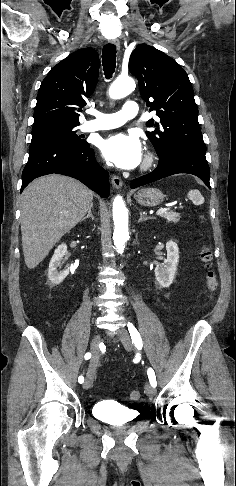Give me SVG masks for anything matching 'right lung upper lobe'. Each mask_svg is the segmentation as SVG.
<instances>
[{
  "mask_svg": "<svg viewBox=\"0 0 236 486\" xmlns=\"http://www.w3.org/2000/svg\"><path fill=\"white\" fill-rule=\"evenodd\" d=\"M99 75V57L92 48L71 53L55 65L38 91L34 124H79L85 99L94 92Z\"/></svg>",
  "mask_w": 236,
  "mask_h": 486,
  "instance_id": "right-lung-upper-lobe-1",
  "label": "right lung upper lobe"
}]
</instances>
